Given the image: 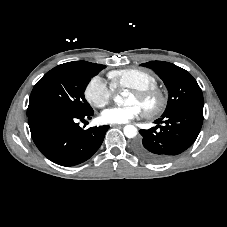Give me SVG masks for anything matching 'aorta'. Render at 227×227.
<instances>
[{"label": "aorta", "mask_w": 227, "mask_h": 227, "mask_svg": "<svg viewBox=\"0 0 227 227\" xmlns=\"http://www.w3.org/2000/svg\"><path fill=\"white\" fill-rule=\"evenodd\" d=\"M114 101L117 103V104H121L122 103V100L120 99L119 96H115L114 97ZM123 132H124V135L127 137V138H134L136 135H137V128L133 125H126L123 129Z\"/></svg>", "instance_id": "1"}]
</instances>
